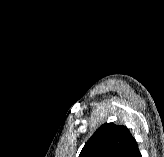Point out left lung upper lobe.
<instances>
[{"instance_id": "obj_1", "label": "left lung upper lobe", "mask_w": 164, "mask_h": 157, "mask_svg": "<svg viewBox=\"0 0 164 157\" xmlns=\"http://www.w3.org/2000/svg\"><path fill=\"white\" fill-rule=\"evenodd\" d=\"M135 142L127 127L105 123L86 142L79 157H127Z\"/></svg>"}]
</instances>
